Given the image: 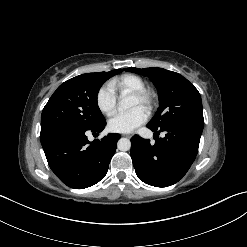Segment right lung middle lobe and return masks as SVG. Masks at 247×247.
I'll return each instance as SVG.
<instances>
[{"mask_svg": "<svg viewBox=\"0 0 247 247\" xmlns=\"http://www.w3.org/2000/svg\"><path fill=\"white\" fill-rule=\"evenodd\" d=\"M120 72L87 73L62 83L42 111L41 130L59 126L90 129L104 122L97 95L103 83Z\"/></svg>", "mask_w": 247, "mask_h": 247, "instance_id": "1", "label": "right lung middle lobe"}]
</instances>
